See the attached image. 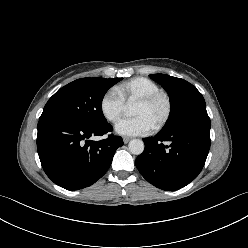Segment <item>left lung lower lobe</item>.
Segmentation results:
<instances>
[{
	"label": "left lung lower lobe",
	"mask_w": 248,
	"mask_h": 248,
	"mask_svg": "<svg viewBox=\"0 0 248 248\" xmlns=\"http://www.w3.org/2000/svg\"><path fill=\"white\" fill-rule=\"evenodd\" d=\"M143 141L145 150L135 161L141 175L160 189L178 190L194 180L205 164L210 149V118L189 121Z\"/></svg>",
	"instance_id": "left-lung-lower-lobe-1"
}]
</instances>
